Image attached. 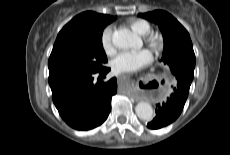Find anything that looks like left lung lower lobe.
<instances>
[{
  "mask_svg": "<svg viewBox=\"0 0 230 155\" xmlns=\"http://www.w3.org/2000/svg\"><path fill=\"white\" fill-rule=\"evenodd\" d=\"M191 82L179 78L172 86L173 91L165 102L157 105L156 117L147 124L150 129H159L174 122L181 114L188 97Z\"/></svg>",
  "mask_w": 230,
  "mask_h": 155,
  "instance_id": "left-lung-lower-lobe-1",
  "label": "left lung lower lobe"
}]
</instances>
